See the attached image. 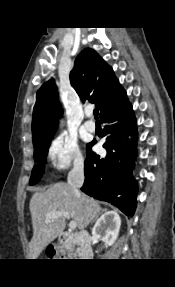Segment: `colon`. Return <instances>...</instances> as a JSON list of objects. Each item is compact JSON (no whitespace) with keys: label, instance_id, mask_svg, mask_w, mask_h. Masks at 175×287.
Segmentation results:
<instances>
[{"label":"colon","instance_id":"5ec220e1","mask_svg":"<svg viewBox=\"0 0 175 287\" xmlns=\"http://www.w3.org/2000/svg\"><path fill=\"white\" fill-rule=\"evenodd\" d=\"M58 251L55 247H49L47 250V255L49 257H55L57 255Z\"/></svg>","mask_w":175,"mask_h":287}]
</instances>
